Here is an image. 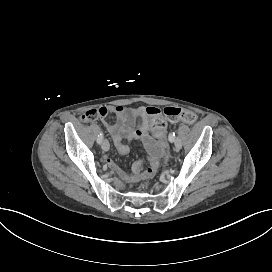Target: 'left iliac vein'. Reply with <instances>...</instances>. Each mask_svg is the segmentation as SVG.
<instances>
[{
  "mask_svg": "<svg viewBox=\"0 0 272 272\" xmlns=\"http://www.w3.org/2000/svg\"><path fill=\"white\" fill-rule=\"evenodd\" d=\"M174 145H175V149L177 151H179L182 148V144H181L180 140H175Z\"/></svg>",
  "mask_w": 272,
  "mask_h": 272,
  "instance_id": "left-iliac-vein-1",
  "label": "left iliac vein"
}]
</instances>
